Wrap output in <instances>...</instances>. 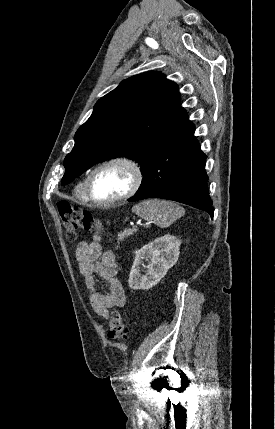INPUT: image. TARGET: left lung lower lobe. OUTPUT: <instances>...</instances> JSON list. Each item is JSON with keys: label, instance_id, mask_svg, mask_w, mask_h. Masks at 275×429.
Returning a JSON list of instances; mask_svg holds the SVG:
<instances>
[{"label": "left lung lower lobe", "instance_id": "obj_1", "mask_svg": "<svg viewBox=\"0 0 275 429\" xmlns=\"http://www.w3.org/2000/svg\"><path fill=\"white\" fill-rule=\"evenodd\" d=\"M206 155L185 117L177 131L153 156L136 194L128 201L156 197L174 200L214 214L205 171Z\"/></svg>", "mask_w": 275, "mask_h": 429}]
</instances>
